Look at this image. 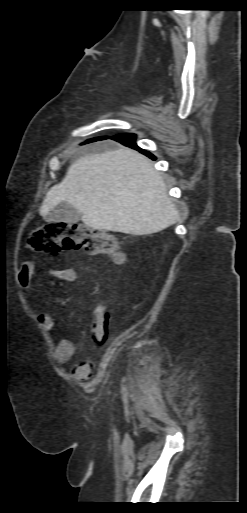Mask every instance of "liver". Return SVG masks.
I'll use <instances>...</instances> for the list:
<instances>
[{
	"instance_id": "6515ba94",
	"label": "liver",
	"mask_w": 247,
	"mask_h": 513,
	"mask_svg": "<svg viewBox=\"0 0 247 513\" xmlns=\"http://www.w3.org/2000/svg\"><path fill=\"white\" fill-rule=\"evenodd\" d=\"M62 202L78 210L88 227L125 234L159 232L179 217L160 173L148 158L127 147L71 164L62 182L47 192L39 214L47 221Z\"/></svg>"
}]
</instances>
